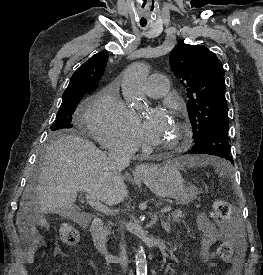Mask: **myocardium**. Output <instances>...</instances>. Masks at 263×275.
<instances>
[{
	"label": "myocardium",
	"instance_id": "f54148a6",
	"mask_svg": "<svg viewBox=\"0 0 263 275\" xmlns=\"http://www.w3.org/2000/svg\"><path fill=\"white\" fill-rule=\"evenodd\" d=\"M174 122L178 132L176 139L171 144L161 146L163 150L168 152H174L185 148L190 138L188 124L178 118H176Z\"/></svg>",
	"mask_w": 263,
	"mask_h": 275
}]
</instances>
